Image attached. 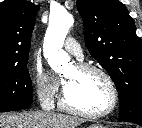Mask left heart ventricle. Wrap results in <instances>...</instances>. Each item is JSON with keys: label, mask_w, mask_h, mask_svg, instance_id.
I'll use <instances>...</instances> for the list:
<instances>
[{"label": "left heart ventricle", "mask_w": 142, "mask_h": 128, "mask_svg": "<svg viewBox=\"0 0 142 128\" xmlns=\"http://www.w3.org/2000/svg\"><path fill=\"white\" fill-rule=\"evenodd\" d=\"M67 101L74 107L87 112H102L112 100L110 87L105 78L96 72H82L76 67L64 74Z\"/></svg>", "instance_id": "1"}]
</instances>
